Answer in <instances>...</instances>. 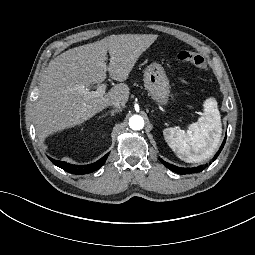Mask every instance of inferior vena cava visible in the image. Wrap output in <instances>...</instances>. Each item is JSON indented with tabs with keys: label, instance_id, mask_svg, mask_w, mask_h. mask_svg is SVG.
<instances>
[{
	"label": "inferior vena cava",
	"instance_id": "602c4592",
	"mask_svg": "<svg viewBox=\"0 0 255 255\" xmlns=\"http://www.w3.org/2000/svg\"><path fill=\"white\" fill-rule=\"evenodd\" d=\"M111 106H112L113 108H115L116 111H121V105H120L119 102L113 101V102L111 103Z\"/></svg>",
	"mask_w": 255,
	"mask_h": 255
}]
</instances>
